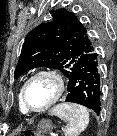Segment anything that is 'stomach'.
<instances>
[{
	"label": "stomach",
	"mask_w": 117,
	"mask_h": 136,
	"mask_svg": "<svg viewBox=\"0 0 117 136\" xmlns=\"http://www.w3.org/2000/svg\"><path fill=\"white\" fill-rule=\"evenodd\" d=\"M51 130H52V123H51V121L43 119L38 124V132L36 134L39 135L41 133H46V132H49Z\"/></svg>",
	"instance_id": "obj_1"
}]
</instances>
